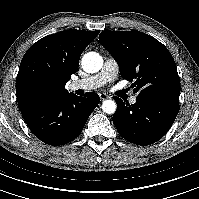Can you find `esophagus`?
I'll list each match as a JSON object with an SVG mask.
<instances>
[{
  "label": "esophagus",
  "mask_w": 199,
  "mask_h": 199,
  "mask_svg": "<svg viewBox=\"0 0 199 199\" xmlns=\"http://www.w3.org/2000/svg\"><path fill=\"white\" fill-rule=\"evenodd\" d=\"M100 100H106L109 96L106 93H99Z\"/></svg>",
  "instance_id": "obj_1"
}]
</instances>
